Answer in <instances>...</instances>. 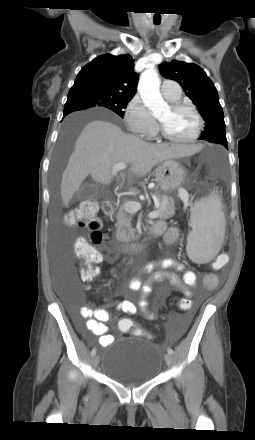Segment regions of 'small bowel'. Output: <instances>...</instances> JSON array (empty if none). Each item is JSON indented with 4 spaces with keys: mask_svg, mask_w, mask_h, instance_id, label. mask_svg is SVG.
<instances>
[{
    "mask_svg": "<svg viewBox=\"0 0 255 440\" xmlns=\"http://www.w3.org/2000/svg\"><path fill=\"white\" fill-rule=\"evenodd\" d=\"M156 225L162 230L166 228V224L163 221L156 223ZM181 237L180 228L173 226L167 229L164 235V243L166 246H170L178 241ZM168 268H174L178 272H182V276L177 273L168 271ZM141 274H149V278L146 283H143L139 278H135L130 282V289L132 291H141L142 294L147 295L152 291L154 284L168 283L171 287L179 290L184 298H192L195 294V288L197 286L198 277L195 272L185 269L184 265L173 259H163L155 261L145 265ZM217 277L210 276V279L206 281L204 278V289H214L217 286ZM168 290L165 289L164 293ZM117 309L126 314L141 313L145 318L153 320L155 318L154 312L149 309V304L145 299L139 300H123L118 303ZM78 316L86 319L82 324L77 316L75 321L77 327L81 331H89L95 336L99 337V343L102 347L109 346L114 337L109 333V328L106 322L111 320V315L103 308H91L81 307L78 312ZM190 317V314H189Z\"/></svg>",
    "mask_w": 255,
    "mask_h": 440,
    "instance_id": "small-bowel-1",
    "label": "small bowel"
}]
</instances>
